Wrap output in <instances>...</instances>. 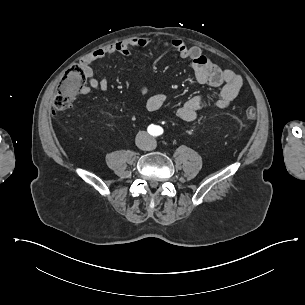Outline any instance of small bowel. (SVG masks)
Returning a JSON list of instances; mask_svg holds the SVG:
<instances>
[{"instance_id":"1","label":"small bowel","mask_w":305,"mask_h":305,"mask_svg":"<svg viewBox=\"0 0 305 305\" xmlns=\"http://www.w3.org/2000/svg\"><path fill=\"white\" fill-rule=\"evenodd\" d=\"M150 41L151 39L145 36L133 37L96 49L84 56L80 62V69L87 80V85L81 88L80 93L88 95L91 90L105 92L109 88V81L106 78H96L95 71L91 66L93 62L112 54L131 56L133 49L144 48L149 45ZM163 45L174 49L181 57L191 61L194 77L198 82L213 87H221L218 98L213 102L214 107L224 109L230 106L241 89V76L229 69L220 68L209 60L198 46H189L180 39H173ZM143 67H147L146 63L143 64ZM147 91V83L142 84L140 93L144 95ZM168 102L169 98L165 93H158L147 99L146 109L153 112L164 107ZM205 106L206 102L203 98L191 97L177 108L176 114L185 122H193L196 120L199 111Z\"/></svg>"}]
</instances>
